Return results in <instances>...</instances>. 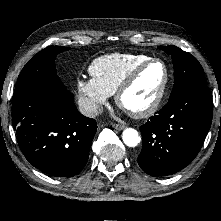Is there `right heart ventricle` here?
<instances>
[{
    "label": "right heart ventricle",
    "instance_id": "obj_1",
    "mask_svg": "<svg viewBox=\"0 0 221 221\" xmlns=\"http://www.w3.org/2000/svg\"><path fill=\"white\" fill-rule=\"evenodd\" d=\"M149 58L143 54L112 53L93 60L88 71L92 80L108 95H112L126 76Z\"/></svg>",
    "mask_w": 221,
    "mask_h": 221
}]
</instances>
